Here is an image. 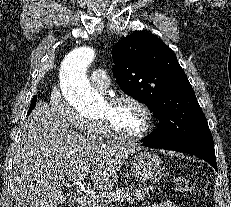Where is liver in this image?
I'll return each mask as SVG.
<instances>
[{
    "label": "liver",
    "instance_id": "1",
    "mask_svg": "<svg viewBox=\"0 0 231 207\" xmlns=\"http://www.w3.org/2000/svg\"><path fill=\"white\" fill-rule=\"evenodd\" d=\"M142 149L85 138L69 128L56 108L39 102L13 159L15 207H57L64 200L65 179L89 178L96 189L108 190L128 156Z\"/></svg>",
    "mask_w": 231,
    "mask_h": 207
}]
</instances>
